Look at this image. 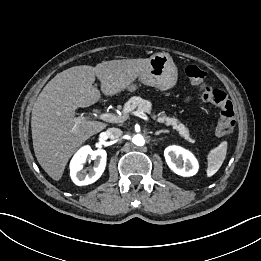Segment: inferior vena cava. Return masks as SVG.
<instances>
[{
  "instance_id": "obj_1",
  "label": "inferior vena cava",
  "mask_w": 261,
  "mask_h": 261,
  "mask_svg": "<svg viewBox=\"0 0 261 261\" xmlns=\"http://www.w3.org/2000/svg\"><path fill=\"white\" fill-rule=\"evenodd\" d=\"M122 130L119 128H108L106 130V136L109 139H116L119 138L122 135Z\"/></svg>"
}]
</instances>
